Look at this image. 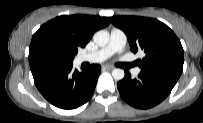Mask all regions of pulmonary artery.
Here are the masks:
<instances>
[{
  "instance_id": "pulmonary-artery-1",
  "label": "pulmonary artery",
  "mask_w": 203,
  "mask_h": 123,
  "mask_svg": "<svg viewBox=\"0 0 203 123\" xmlns=\"http://www.w3.org/2000/svg\"><path fill=\"white\" fill-rule=\"evenodd\" d=\"M126 43V36L124 32L118 28H113L110 34V41L109 43L94 52L81 54L78 57V61L82 62H89V63H100L108 58H110L115 53H120L125 46ZM140 73V68H134L132 70V74L137 76Z\"/></svg>"
}]
</instances>
